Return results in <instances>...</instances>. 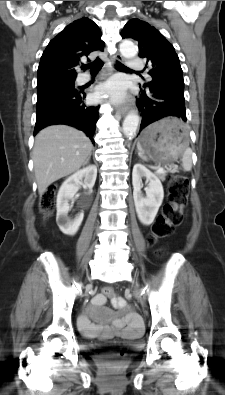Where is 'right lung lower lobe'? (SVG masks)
Masks as SVG:
<instances>
[{"label": "right lung lower lobe", "instance_id": "obj_1", "mask_svg": "<svg viewBox=\"0 0 225 395\" xmlns=\"http://www.w3.org/2000/svg\"><path fill=\"white\" fill-rule=\"evenodd\" d=\"M85 97L83 91L59 90L37 101L34 135L46 126L66 124L84 131L92 139L99 106H87Z\"/></svg>", "mask_w": 225, "mask_h": 395}]
</instances>
